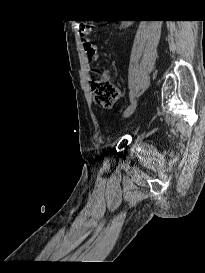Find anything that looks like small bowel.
Instances as JSON below:
<instances>
[{
	"label": "small bowel",
	"mask_w": 205,
	"mask_h": 273,
	"mask_svg": "<svg viewBox=\"0 0 205 273\" xmlns=\"http://www.w3.org/2000/svg\"><path fill=\"white\" fill-rule=\"evenodd\" d=\"M83 50L85 52V54L89 57L92 58L94 60H98L99 59V51L98 48L93 45L90 41L85 40L83 42ZM106 78H110V74L109 73H105L104 75Z\"/></svg>",
	"instance_id": "1"
}]
</instances>
